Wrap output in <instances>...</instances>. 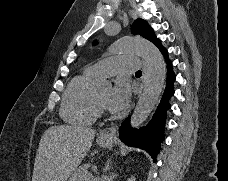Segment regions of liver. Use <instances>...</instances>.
<instances>
[{"label":"liver","mask_w":228,"mask_h":181,"mask_svg":"<svg viewBox=\"0 0 228 181\" xmlns=\"http://www.w3.org/2000/svg\"><path fill=\"white\" fill-rule=\"evenodd\" d=\"M95 135L87 127H49L37 149L32 181H67L90 151Z\"/></svg>","instance_id":"obj_1"}]
</instances>
